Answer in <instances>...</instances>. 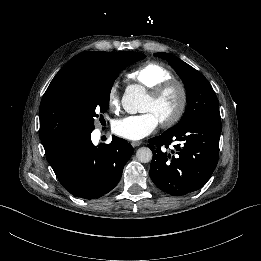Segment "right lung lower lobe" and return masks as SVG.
I'll return each mask as SVG.
<instances>
[{"mask_svg": "<svg viewBox=\"0 0 261 261\" xmlns=\"http://www.w3.org/2000/svg\"><path fill=\"white\" fill-rule=\"evenodd\" d=\"M133 147L113 136L110 144L94 146L90 134L69 137L46 153L61 185L74 197L95 199L119 182Z\"/></svg>", "mask_w": 261, "mask_h": 261, "instance_id": "98d812e1", "label": "right lung lower lobe"}]
</instances>
